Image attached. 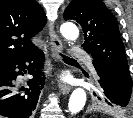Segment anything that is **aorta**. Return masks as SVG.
Here are the masks:
<instances>
[{
	"mask_svg": "<svg viewBox=\"0 0 133 118\" xmlns=\"http://www.w3.org/2000/svg\"><path fill=\"white\" fill-rule=\"evenodd\" d=\"M60 32L68 40H76L79 36V30L73 23H64ZM86 103V92L83 88L75 89L69 99L68 109L72 114L80 112Z\"/></svg>",
	"mask_w": 133,
	"mask_h": 118,
	"instance_id": "obj_1",
	"label": "aorta"
}]
</instances>
